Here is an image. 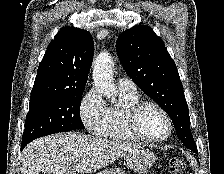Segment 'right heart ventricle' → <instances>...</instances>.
<instances>
[{"label": "right heart ventricle", "instance_id": "1", "mask_svg": "<svg viewBox=\"0 0 224 174\" xmlns=\"http://www.w3.org/2000/svg\"><path fill=\"white\" fill-rule=\"evenodd\" d=\"M139 101L138 93L119 91L118 104L106 107L105 124L99 135L102 138L115 141H138L128 129L125 117L128 109Z\"/></svg>", "mask_w": 224, "mask_h": 174}]
</instances>
